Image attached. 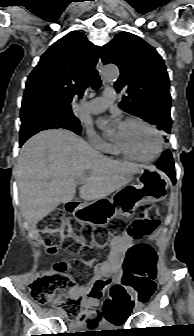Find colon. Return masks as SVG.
<instances>
[{"instance_id": "colon-1", "label": "colon", "mask_w": 194, "mask_h": 336, "mask_svg": "<svg viewBox=\"0 0 194 336\" xmlns=\"http://www.w3.org/2000/svg\"><path fill=\"white\" fill-rule=\"evenodd\" d=\"M120 221L113 222L116 228L121 227ZM160 225L156 217V209L149 205L145 208L141 218L133 221L128 227V233L133 239H142L154 233ZM39 232L42 234L44 243L49 253H54L63 244L72 252H80L82 258L69 262L55 264L53 270L43 271L30 284V297L38 304H47L57 293H65L67 296L60 300L57 305L70 319L79 318L82 310V297L72 294L76 290L77 281L73 274L81 276L87 273L88 264L97 259L105 250L106 240L97 238L90 242L84 237L68 232L75 229V224L67 221L62 211H54L48 214L39 223ZM154 253L146 246H134L127 254L124 263L125 274L122 283L106 281L96 286L90 292L95 298L102 296L103 289L107 288L110 298L104 304L106 317L110 323L121 320L131 309L135 300L143 301L146 294L140 292L131 295L125 290V286L134 285L139 273H146L145 278L150 285L154 278L153 268ZM71 270L72 274L66 273ZM121 299V303L117 301Z\"/></svg>"}]
</instances>
